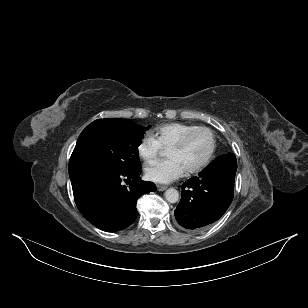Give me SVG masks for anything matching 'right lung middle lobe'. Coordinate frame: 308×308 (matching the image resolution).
Returning a JSON list of instances; mask_svg holds the SVG:
<instances>
[{
	"mask_svg": "<svg viewBox=\"0 0 308 308\" xmlns=\"http://www.w3.org/2000/svg\"><path fill=\"white\" fill-rule=\"evenodd\" d=\"M149 128L130 120L92 122L77 140L69 162L70 176L86 171L118 174L141 169L138 146Z\"/></svg>",
	"mask_w": 308,
	"mask_h": 308,
	"instance_id": "dd1d6c3e",
	"label": "right lung middle lobe"
}]
</instances>
